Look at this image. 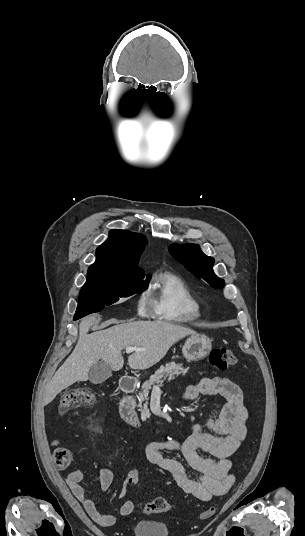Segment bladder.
<instances>
[{"label":"bladder","instance_id":"31cf9c89","mask_svg":"<svg viewBox=\"0 0 305 536\" xmlns=\"http://www.w3.org/2000/svg\"><path fill=\"white\" fill-rule=\"evenodd\" d=\"M132 530L134 536H171L169 523L151 519H139Z\"/></svg>","mask_w":305,"mask_h":536}]
</instances>
